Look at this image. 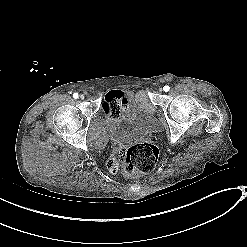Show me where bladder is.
Wrapping results in <instances>:
<instances>
[{"mask_svg": "<svg viewBox=\"0 0 247 247\" xmlns=\"http://www.w3.org/2000/svg\"><path fill=\"white\" fill-rule=\"evenodd\" d=\"M155 111L141 98L139 93H129L128 99L121 100L119 114L111 117L115 129L122 133L118 143H130L134 139L150 137L156 130Z\"/></svg>", "mask_w": 247, "mask_h": 247, "instance_id": "31cf9c89", "label": "bladder"}]
</instances>
